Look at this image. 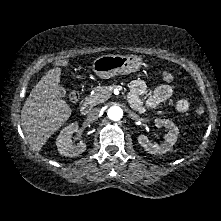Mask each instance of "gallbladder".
<instances>
[{
    "label": "gallbladder",
    "mask_w": 221,
    "mask_h": 221,
    "mask_svg": "<svg viewBox=\"0 0 221 221\" xmlns=\"http://www.w3.org/2000/svg\"><path fill=\"white\" fill-rule=\"evenodd\" d=\"M59 94L62 96V97H65L66 96V91L63 87H61L60 91H59Z\"/></svg>",
    "instance_id": "1"
}]
</instances>
